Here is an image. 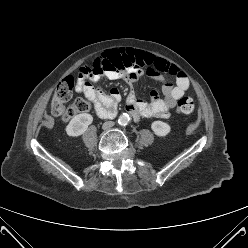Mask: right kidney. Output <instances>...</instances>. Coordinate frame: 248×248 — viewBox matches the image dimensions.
Masks as SVG:
<instances>
[{"label": "right kidney", "mask_w": 248, "mask_h": 248, "mask_svg": "<svg viewBox=\"0 0 248 248\" xmlns=\"http://www.w3.org/2000/svg\"><path fill=\"white\" fill-rule=\"evenodd\" d=\"M92 121L93 117L88 113H81L74 116L66 126L67 135L73 137L82 135L88 129Z\"/></svg>", "instance_id": "1"}]
</instances>
